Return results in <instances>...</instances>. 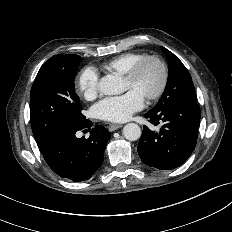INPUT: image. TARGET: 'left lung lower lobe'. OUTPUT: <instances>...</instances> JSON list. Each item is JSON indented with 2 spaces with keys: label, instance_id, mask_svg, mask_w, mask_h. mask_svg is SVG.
Wrapping results in <instances>:
<instances>
[{
  "label": "left lung lower lobe",
  "instance_id": "left-lung-lower-lobe-1",
  "mask_svg": "<svg viewBox=\"0 0 232 232\" xmlns=\"http://www.w3.org/2000/svg\"><path fill=\"white\" fill-rule=\"evenodd\" d=\"M144 116L154 125H163L159 132L144 126L137 148L141 160L159 170L181 166L197 143L199 105L182 99L159 110L151 109Z\"/></svg>",
  "mask_w": 232,
  "mask_h": 232
}]
</instances>
